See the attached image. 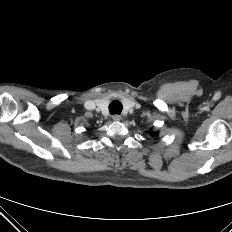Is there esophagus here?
Here are the masks:
<instances>
[{
    "label": "esophagus",
    "instance_id": "34e87169",
    "mask_svg": "<svg viewBox=\"0 0 232 232\" xmlns=\"http://www.w3.org/2000/svg\"><path fill=\"white\" fill-rule=\"evenodd\" d=\"M121 118H122L121 115H118V114H115V115L112 116V119H113L114 121H120Z\"/></svg>",
    "mask_w": 232,
    "mask_h": 232
}]
</instances>
